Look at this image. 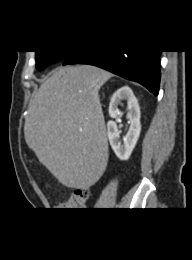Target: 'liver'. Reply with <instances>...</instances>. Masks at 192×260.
<instances>
[{"label": "liver", "instance_id": "6515ba94", "mask_svg": "<svg viewBox=\"0 0 192 260\" xmlns=\"http://www.w3.org/2000/svg\"><path fill=\"white\" fill-rule=\"evenodd\" d=\"M112 74L92 65L57 69L34 95L25 141L64 186L87 189L103 175L108 142L99 98Z\"/></svg>", "mask_w": 192, "mask_h": 260}]
</instances>
